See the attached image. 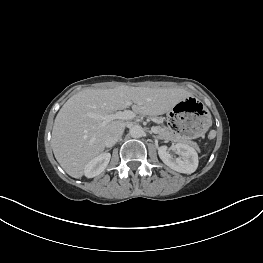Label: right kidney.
Masks as SVG:
<instances>
[{
    "instance_id": "ca27d5eb",
    "label": "right kidney",
    "mask_w": 263,
    "mask_h": 263,
    "mask_svg": "<svg viewBox=\"0 0 263 263\" xmlns=\"http://www.w3.org/2000/svg\"><path fill=\"white\" fill-rule=\"evenodd\" d=\"M111 154L104 152L88 162L84 168V175L93 178L100 175L107 167Z\"/></svg>"
}]
</instances>
